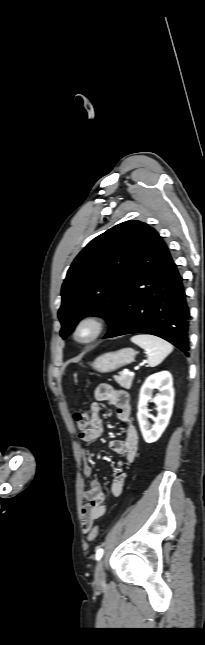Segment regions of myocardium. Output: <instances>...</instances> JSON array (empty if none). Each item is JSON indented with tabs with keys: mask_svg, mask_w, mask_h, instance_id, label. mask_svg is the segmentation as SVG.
<instances>
[{
	"mask_svg": "<svg viewBox=\"0 0 205 645\" xmlns=\"http://www.w3.org/2000/svg\"><path fill=\"white\" fill-rule=\"evenodd\" d=\"M105 329L104 320L98 315L82 317L73 329V338L82 344H89L97 340Z\"/></svg>",
	"mask_w": 205,
	"mask_h": 645,
	"instance_id": "1",
	"label": "myocardium"
}]
</instances>
